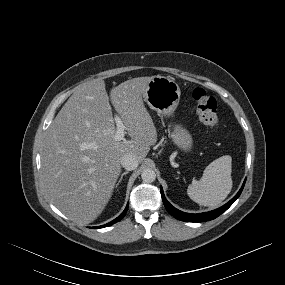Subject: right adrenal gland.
Returning a JSON list of instances; mask_svg holds the SVG:
<instances>
[{
    "mask_svg": "<svg viewBox=\"0 0 285 285\" xmlns=\"http://www.w3.org/2000/svg\"><path fill=\"white\" fill-rule=\"evenodd\" d=\"M126 174H128V171H125V172H123V173L121 174V177H120V179H119V181H118L116 187L121 183V181H122L124 175H126Z\"/></svg>",
    "mask_w": 285,
    "mask_h": 285,
    "instance_id": "right-adrenal-gland-1",
    "label": "right adrenal gland"
}]
</instances>
